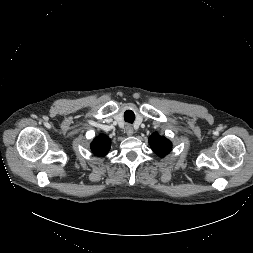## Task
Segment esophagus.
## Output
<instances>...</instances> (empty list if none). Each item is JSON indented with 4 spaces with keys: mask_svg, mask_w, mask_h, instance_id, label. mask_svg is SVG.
Here are the masks:
<instances>
[{
    "mask_svg": "<svg viewBox=\"0 0 253 253\" xmlns=\"http://www.w3.org/2000/svg\"><path fill=\"white\" fill-rule=\"evenodd\" d=\"M125 131L128 136H132L134 134V130L131 125H127Z\"/></svg>",
    "mask_w": 253,
    "mask_h": 253,
    "instance_id": "esophagus-1",
    "label": "esophagus"
}]
</instances>
